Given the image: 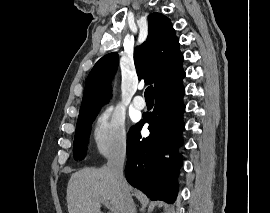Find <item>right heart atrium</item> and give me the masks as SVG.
Listing matches in <instances>:
<instances>
[{
	"label": "right heart atrium",
	"mask_w": 270,
	"mask_h": 213,
	"mask_svg": "<svg viewBox=\"0 0 270 213\" xmlns=\"http://www.w3.org/2000/svg\"><path fill=\"white\" fill-rule=\"evenodd\" d=\"M91 141L97 154L108 157L120 155L128 148L124 116L113 106L104 107L96 116Z\"/></svg>",
	"instance_id": "d8ad5b80"
}]
</instances>
